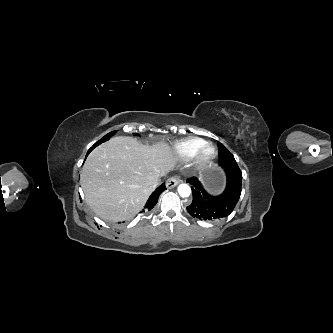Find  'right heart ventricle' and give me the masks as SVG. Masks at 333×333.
I'll return each instance as SVG.
<instances>
[{
  "label": "right heart ventricle",
  "mask_w": 333,
  "mask_h": 333,
  "mask_svg": "<svg viewBox=\"0 0 333 333\" xmlns=\"http://www.w3.org/2000/svg\"><path fill=\"white\" fill-rule=\"evenodd\" d=\"M207 142L200 138H188L172 144L173 153L183 161L191 160Z\"/></svg>",
  "instance_id": "right-heart-ventricle-1"
}]
</instances>
